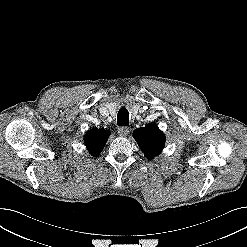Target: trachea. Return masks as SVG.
I'll list each match as a JSON object with an SVG mask.
<instances>
[{"label": "trachea", "instance_id": "3493384b", "mask_svg": "<svg viewBox=\"0 0 247 247\" xmlns=\"http://www.w3.org/2000/svg\"><path fill=\"white\" fill-rule=\"evenodd\" d=\"M117 124L119 126H127L129 124V113L127 109L121 108L117 114Z\"/></svg>", "mask_w": 247, "mask_h": 247}]
</instances>
